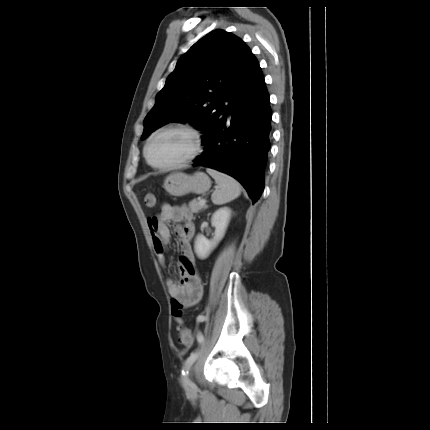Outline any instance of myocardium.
<instances>
[{
	"label": "myocardium",
	"instance_id": "f54148a6",
	"mask_svg": "<svg viewBox=\"0 0 430 430\" xmlns=\"http://www.w3.org/2000/svg\"><path fill=\"white\" fill-rule=\"evenodd\" d=\"M169 130H182V131L189 133L193 137V140H194L193 150L191 151V153L187 157H185L184 159H182L176 163L169 164V165L155 164L154 162H152V160L149 157V147H150L152 141L158 135H160L163 132L169 131ZM202 151H203V138H202L200 131L198 129H196L195 127L188 125V124L174 123V124H169L165 127L158 129L147 139L145 146H144V157H145L147 163L150 166H152L153 168H156L158 170H173V169H177V168L183 167V166L191 163L192 161H194L196 158H198L201 155Z\"/></svg>",
	"mask_w": 430,
	"mask_h": 430
}]
</instances>
